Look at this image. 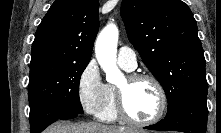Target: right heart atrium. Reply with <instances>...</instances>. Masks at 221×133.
I'll list each match as a JSON object with an SVG mask.
<instances>
[{
  "mask_svg": "<svg viewBox=\"0 0 221 133\" xmlns=\"http://www.w3.org/2000/svg\"><path fill=\"white\" fill-rule=\"evenodd\" d=\"M77 96L86 113L96 115L101 109L106 96V84L95 60L89 61L81 71L77 83Z\"/></svg>",
  "mask_w": 221,
  "mask_h": 133,
  "instance_id": "1",
  "label": "right heart atrium"
}]
</instances>
